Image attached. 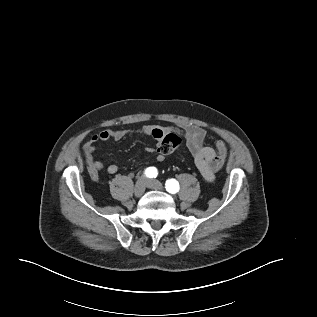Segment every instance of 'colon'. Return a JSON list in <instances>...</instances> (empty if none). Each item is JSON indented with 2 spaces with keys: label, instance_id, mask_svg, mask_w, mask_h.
Returning a JSON list of instances; mask_svg holds the SVG:
<instances>
[{
  "label": "colon",
  "instance_id": "colon-1",
  "mask_svg": "<svg viewBox=\"0 0 317 317\" xmlns=\"http://www.w3.org/2000/svg\"><path fill=\"white\" fill-rule=\"evenodd\" d=\"M182 144V140L178 134L168 133L158 144V150L164 154H170L177 150Z\"/></svg>",
  "mask_w": 317,
  "mask_h": 317
}]
</instances>
